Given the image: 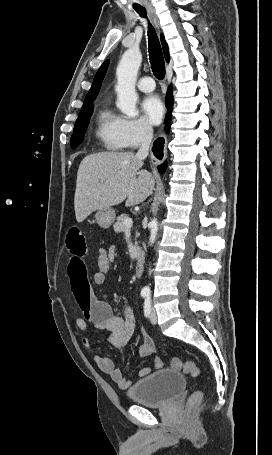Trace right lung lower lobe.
<instances>
[{"label":"right lung lower lobe","mask_w":272,"mask_h":455,"mask_svg":"<svg viewBox=\"0 0 272 455\" xmlns=\"http://www.w3.org/2000/svg\"><path fill=\"white\" fill-rule=\"evenodd\" d=\"M172 104H173V96H172L171 89H169L168 93H167V96H166V106L168 107L169 111L172 110ZM170 120H171V117H170V114H169L166 117V122H167L168 125L170 124ZM166 167H167V164H166V162H164L163 164H161L158 167L159 168V172L160 173H164L165 170H166Z\"/></svg>","instance_id":"1"}]
</instances>
